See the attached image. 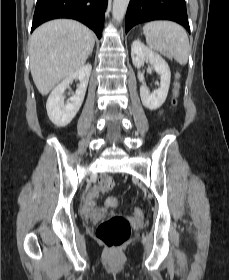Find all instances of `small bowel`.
Wrapping results in <instances>:
<instances>
[{"label": "small bowel", "instance_id": "obj_1", "mask_svg": "<svg viewBox=\"0 0 229 280\" xmlns=\"http://www.w3.org/2000/svg\"><path fill=\"white\" fill-rule=\"evenodd\" d=\"M162 111L159 112L161 114ZM101 194H107V192L99 185H95L89 189L86 194L84 205L81 208V212L84 216H99L105 214L109 209L116 207V199L112 196H107L103 207H99L96 204V200Z\"/></svg>", "mask_w": 229, "mask_h": 280}]
</instances>
